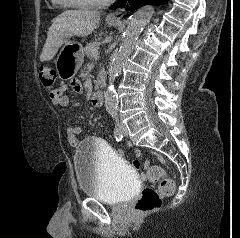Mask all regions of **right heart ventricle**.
I'll return each mask as SVG.
<instances>
[{"label":"right heart ventricle","mask_w":240,"mask_h":238,"mask_svg":"<svg viewBox=\"0 0 240 238\" xmlns=\"http://www.w3.org/2000/svg\"><path fill=\"white\" fill-rule=\"evenodd\" d=\"M51 1L56 6L68 7L63 2H61V0H51Z\"/></svg>","instance_id":"e07e8e85"}]
</instances>
